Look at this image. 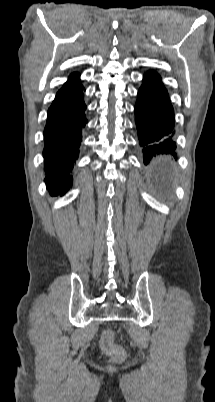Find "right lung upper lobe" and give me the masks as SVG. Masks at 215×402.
Here are the masks:
<instances>
[{
	"label": "right lung upper lobe",
	"mask_w": 215,
	"mask_h": 402,
	"mask_svg": "<svg viewBox=\"0 0 215 402\" xmlns=\"http://www.w3.org/2000/svg\"><path fill=\"white\" fill-rule=\"evenodd\" d=\"M78 80H79V73H77V72L72 73V74L69 76L68 81L63 85V87H62L61 89L73 85V84H74L75 82H77Z\"/></svg>",
	"instance_id": "obj_1"
}]
</instances>
